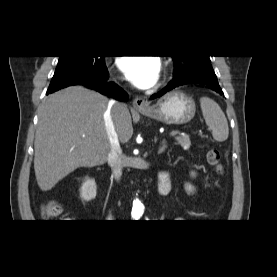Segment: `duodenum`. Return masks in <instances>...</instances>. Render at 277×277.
Returning <instances> with one entry per match:
<instances>
[{
	"label": "duodenum",
	"mask_w": 277,
	"mask_h": 277,
	"mask_svg": "<svg viewBox=\"0 0 277 277\" xmlns=\"http://www.w3.org/2000/svg\"><path fill=\"white\" fill-rule=\"evenodd\" d=\"M161 180L168 185V188H167V190L165 192L160 193V194H166L169 191V189H170V179H169V176L166 175L165 173H163V175L161 177ZM159 192H160V187H159Z\"/></svg>",
	"instance_id": "1"
}]
</instances>
